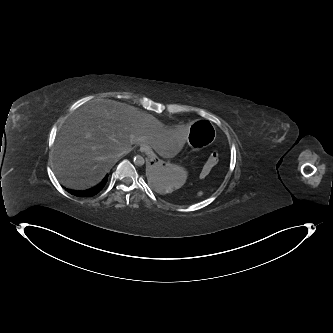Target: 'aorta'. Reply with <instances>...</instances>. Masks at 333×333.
Segmentation results:
<instances>
[{"instance_id":"obj_1","label":"aorta","mask_w":333,"mask_h":333,"mask_svg":"<svg viewBox=\"0 0 333 333\" xmlns=\"http://www.w3.org/2000/svg\"><path fill=\"white\" fill-rule=\"evenodd\" d=\"M133 162L136 166H143L145 163V160L141 155H136L133 158Z\"/></svg>"}]
</instances>
